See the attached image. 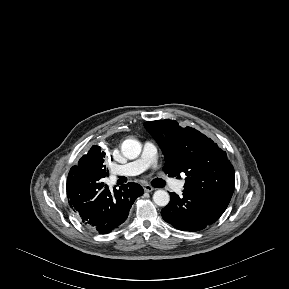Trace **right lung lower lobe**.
Masks as SVG:
<instances>
[{"instance_id":"98d812e1","label":"right lung lower lobe","mask_w":289,"mask_h":289,"mask_svg":"<svg viewBox=\"0 0 289 289\" xmlns=\"http://www.w3.org/2000/svg\"><path fill=\"white\" fill-rule=\"evenodd\" d=\"M70 206L91 230L107 234L128 217L135 199L144 193L135 183H128L111 193L102 179L83 169L72 167L66 184Z\"/></svg>"}]
</instances>
